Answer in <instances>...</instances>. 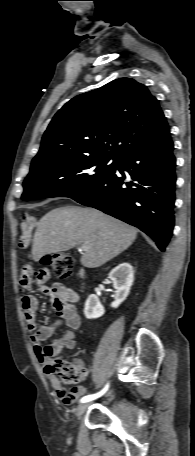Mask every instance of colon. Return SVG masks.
Wrapping results in <instances>:
<instances>
[{
  "label": "colon",
  "mask_w": 195,
  "mask_h": 456,
  "mask_svg": "<svg viewBox=\"0 0 195 456\" xmlns=\"http://www.w3.org/2000/svg\"><path fill=\"white\" fill-rule=\"evenodd\" d=\"M42 261L50 266L60 279H65L72 274L74 259L69 253L59 252L47 255ZM48 357L45 364V372L48 375L57 376L63 383L69 385L77 384L84 378L85 371L76 361L52 359L53 356L50 353Z\"/></svg>",
  "instance_id": "1"
}]
</instances>
